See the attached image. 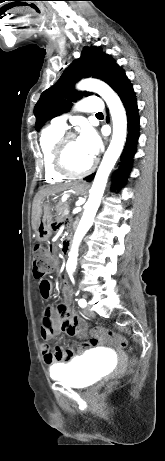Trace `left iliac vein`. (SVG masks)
<instances>
[{
  "label": "left iliac vein",
  "mask_w": 165,
  "mask_h": 461,
  "mask_svg": "<svg viewBox=\"0 0 165 461\" xmlns=\"http://www.w3.org/2000/svg\"><path fill=\"white\" fill-rule=\"evenodd\" d=\"M84 314L88 317H95V313L93 310H91L89 307H86L84 309Z\"/></svg>",
  "instance_id": "4c4485c4"
}]
</instances>
